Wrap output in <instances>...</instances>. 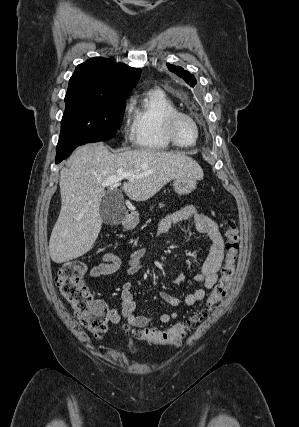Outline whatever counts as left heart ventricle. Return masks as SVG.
<instances>
[{
	"label": "left heart ventricle",
	"mask_w": 299,
	"mask_h": 427,
	"mask_svg": "<svg viewBox=\"0 0 299 427\" xmlns=\"http://www.w3.org/2000/svg\"><path fill=\"white\" fill-rule=\"evenodd\" d=\"M175 133L179 142L190 144L194 142L196 137V130L194 124L186 118L178 120L175 126Z\"/></svg>",
	"instance_id": "b2bd125f"
}]
</instances>
